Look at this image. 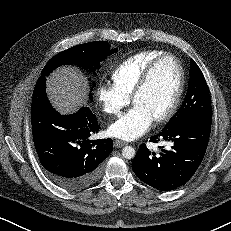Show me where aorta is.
I'll return each instance as SVG.
<instances>
[{
  "label": "aorta",
  "instance_id": "obj_1",
  "mask_svg": "<svg viewBox=\"0 0 231 231\" xmlns=\"http://www.w3.org/2000/svg\"><path fill=\"white\" fill-rule=\"evenodd\" d=\"M122 156L125 159H132V158H134V156H135V149L133 147H131V146H125L122 149Z\"/></svg>",
  "mask_w": 231,
  "mask_h": 231
}]
</instances>
